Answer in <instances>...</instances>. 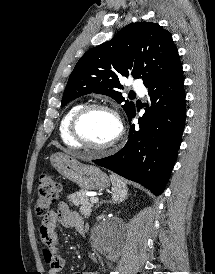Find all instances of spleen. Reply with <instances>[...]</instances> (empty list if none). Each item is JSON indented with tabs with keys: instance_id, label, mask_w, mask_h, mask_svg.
<instances>
[{
	"instance_id": "obj_1",
	"label": "spleen",
	"mask_w": 215,
	"mask_h": 274,
	"mask_svg": "<svg viewBox=\"0 0 215 274\" xmlns=\"http://www.w3.org/2000/svg\"><path fill=\"white\" fill-rule=\"evenodd\" d=\"M112 185L114 187L113 199L117 201L123 195L125 184L115 175H110Z\"/></svg>"
}]
</instances>
